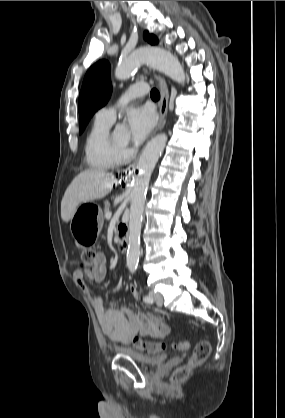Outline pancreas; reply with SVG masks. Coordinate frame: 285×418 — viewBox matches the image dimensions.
<instances>
[{
	"label": "pancreas",
	"instance_id": "1",
	"mask_svg": "<svg viewBox=\"0 0 285 418\" xmlns=\"http://www.w3.org/2000/svg\"><path fill=\"white\" fill-rule=\"evenodd\" d=\"M110 211V203L108 201L104 204V212L105 214Z\"/></svg>",
	"mask_w": 285,
	"mask_h": 418
}]
</instances>
